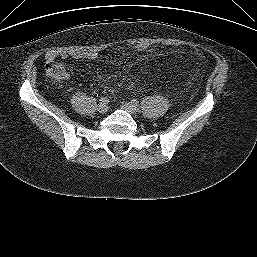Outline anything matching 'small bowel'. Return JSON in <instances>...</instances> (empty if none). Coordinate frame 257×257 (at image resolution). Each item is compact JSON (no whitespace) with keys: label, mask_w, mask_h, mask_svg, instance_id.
Here are the masks:
<instances>
[{"label":"small bowel","mask_w":257,"mask_h":257,"mask_svg":"<svg viewBox=\"0 0 257 257\" xmlns=\"http://www.w3.org/2000/svg\"><path fill=\"white\" fill-rule=\"evenodd\" d=\"M98 54L95 51H76V50H50L46 54V60L52 61L56 58L62 59H95Z\"/></svg>","instance_id":"1"}]
</instances>
